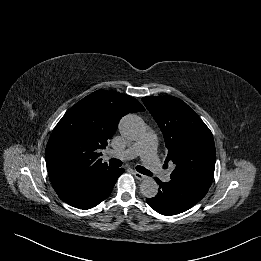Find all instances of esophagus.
Listing matches in <instances>:
<instances>
[{
  "label": "esophagus",
  "mask_w": 261,
  "mask_h": 261,
  "mask_svg": "<svg viewBox=\"0 0 261 261\" xmlns=\"http://www.w3.org/2000/svg\"><path fill=\"white\" fill-rule=\"evenodd\" d=\"M133 174H134V176H135L137 179H139V180H145V179H147V176H145V175H143V174H141V173H139V172H137V171H134Z\"/></svg>",
  "instance_id": "1"
}]
</instances>
